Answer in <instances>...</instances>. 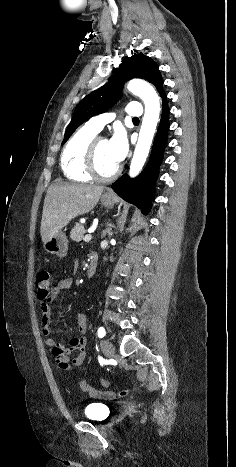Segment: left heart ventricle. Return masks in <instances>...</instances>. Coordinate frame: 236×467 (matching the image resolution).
<instances>
[{
	"label": "left heart ventricle",
	"mask_w": 236,
	"mask_h": 467,
	"mask_svg": "<svg viewBox=\"0 0 236 467\" xmlns=\"http://www.w3.org/2000/svg\"><path fill=\"white\" fill-rule=\"evenodd\" d=\"M118 165L112 158L109 151V144L106 139H101L97 147V168L104 174H110Z\"/></svg>",
	"instance_id": "1"
}]
</instances>
